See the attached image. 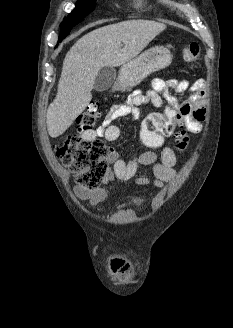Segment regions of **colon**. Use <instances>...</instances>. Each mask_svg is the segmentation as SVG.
<instances>
[{
  "label": "colon",
  "mask_w": 233,
  "mask_h": 328,
  "mask_svg": "<svg viewBox=\"0 0 233 328\" xmlns=\"http://www.w3.org/2000/svg\"><path fill=\"white\" fill-rule=\"evenodd\" d=\"M182 56L186 62H195L201 56L197 43H191L183 49ZM100 116L99 106L90 104L77 118L81 131L92 130ZM165 137H173L176 147L186 148L188 136L181 114L176 110L149 115L142 126L141 141L150 149L163 145ZM59 161L76 176V182L86 190L99 189L108 171L107 149L100 140H85L78 135H69L57 148Z\"/></svg>",
  "instance_id": "5ec220e1"
}]
</instances>
